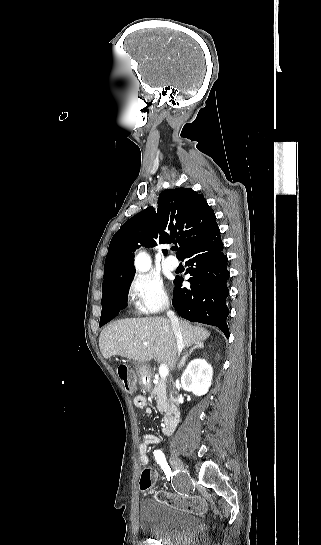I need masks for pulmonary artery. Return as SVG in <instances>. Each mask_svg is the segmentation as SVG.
<instances>
[{
    "instance_id": "pulmonary-artery-1",
    "label": "pulmonary artery",
    "mask_w": 321,
    "mask_h": 545,
    "mask_svg": "<svg viewBox=\"0 0 321 545\" xmlns=\"http://www.w3.org/2000/svg\"><path fill=\"white\" fill-rule=\"evenodd\" d=\"M165 266L167 269L173 271L178 268L179 262L176 259L168 258L165 260Z\"/></svg>"
}]
</instances>
